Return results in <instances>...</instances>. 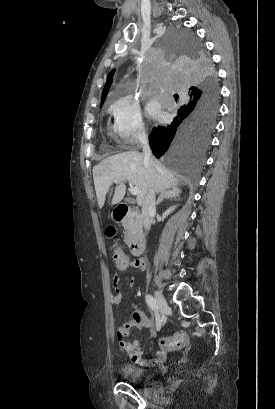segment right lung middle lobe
<instances>
[{"label":"right lung middle lobe","instance_id":"dd1d6c3e","mask_svg":"<svg viewBox=\"0 0 275 409\" xmlns=\"http://www.w3.org/2000/svg\"><path fill=\"white\" fill-rule=\"evenodd\" d=\"M156 43L160 51H173L169 76L174 82H151L150 90L188 91L190 85L196 90L190 98L156 97L157 105H169L165 112L169 125L153 128L150 147L164 167L174 169L175 176L197 182L218 114L217 76L201 42L187 30H162Z\"/></svg>","mask_w":275,"mask_h":409}]
</instances>
